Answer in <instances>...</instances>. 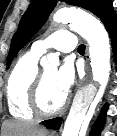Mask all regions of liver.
<instances>
[{"instance_id": "liver-1", "label": "liver", "mask_w": 117, "mask_h": 136, "mask_svg": "<svg viewBox=\"0 0 117 136\" xmlns=\"http://www.w3.org/2000/svg\"><path fill=\"white\" fill-rule=\"evenodd\" d=\"M3 136H46L45 129L32 122L8 121L3 124Z\"/></svg>"}]
</instances>
